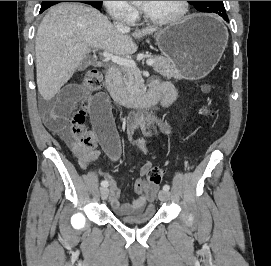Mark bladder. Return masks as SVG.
<instances>
[{
  "mask_svg": "<svg viewBox=\"0 0 271 266\" xmlns=\"http://www.w3.org/2000/svg\"><path fill=\"white\" fill-rule=\"evenodd\" d=\"M156 215L154 207H148L140 213L133 216L116 215V218L125 224L139 225L150 222Z\"/></svg>",
  "mask_w": 271,
  "mask_h": 266,
  "instance_id": "1",
  "label": "bladder"
}]
</instances>
